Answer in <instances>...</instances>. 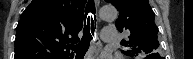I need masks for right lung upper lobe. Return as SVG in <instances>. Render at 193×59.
Returning a JSON list of instances; mask_svg holds the SVG:
<instances>
[{"label": "right lung upper lobe", "instance_id": "cb5924a9", "mask_svg": "<svg viewBox=\"0 0 193 59\" xmlns=\"http://www.w3.org/2000/svg\"><path fill=\"white\" fill-rule=\"evenodd\" d=\"M86 0H33L17 25L14 59H69ZM66 49V51H65Z\"/></svg>", "mask_w": 193, "mask_h": 59}]
</instances>
